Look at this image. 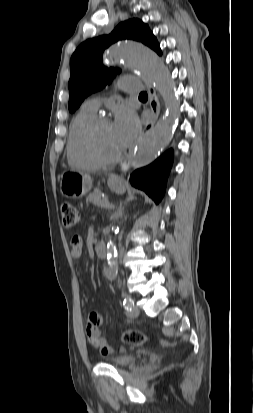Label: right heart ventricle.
<instances>
[{
  "mask_svg": "<svg viewBox=\"0 0 253 413\" xmlns=\"http://www.w3.org/2000/svg\"><path fill=\"white\" fill-rule=\"evenodd\" d=\"M95 118V112L82 107L72 120L66 145L67 160L72 166L84 169L100 166L89 154L85 142L86 130Z\"/></svg>",
  "mask_w": 253,
  "mask_h": 413,
  "instance_id": "1",
  "label": "right heart ventricle"
}]
</instances>
